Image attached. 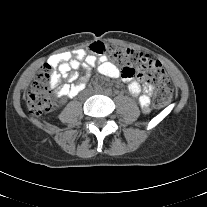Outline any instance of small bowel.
<instances>
[{
  "mask_svg": "<svg viewBox=\"0 0 207 207\" xmlns=\"http://www.w3.org/2000/svg\"><path fill=\"white\" fill-rule=\"evenodd\" d=\"M99 43V42H97ZM46 65L57 71L51 73V84L55 93L60 97L73 98L78 95L87 85L91 70L96 67L97 71L108 78L122 77L128 82L130 94L136 98L144 113L150 110V98L152 88L144 86L136 78H125L116 64L110 61L104 54H98L91 49H77L73 53L62 52L49 57ZM82 69L84 74L79 77L77 70ZM64 79L67 83H61ZM144 91L146 94H143Z\"/></svg>",
  "mask_w": 207,
  "mask_h": 207,
  "instance_id": "c3829d8e",
  "label": "small bowel"
}]
</instances>
